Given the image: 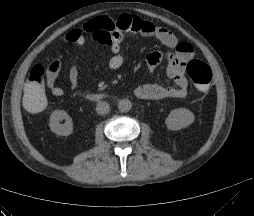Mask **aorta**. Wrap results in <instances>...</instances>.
<instances>
[{"label":"aorta","mask_w":254,"mask_h":216,"mask_svg":"<svg viewBox=\"0 0 254 216\" xmlns=\"http://www.w3.org/2000/svg\"><path fill=\"white\" fill-rule=\"evenodd\" d=\"M132 108V103L128 99H122L118 103V109L120 112H129Z\"/></svg>","instance_id":"obj_1"}]
</instances>
